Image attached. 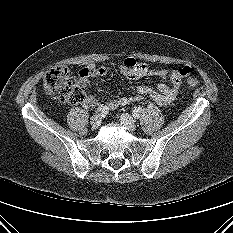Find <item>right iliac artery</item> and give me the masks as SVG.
Listing matches in <instances>:
<instances>
[{
    "instance_id": "right-iliac-artery-1",
    "label": "right iliac artery",
    "mask_w": 233,
    "mask_h": 233,
    "mask_svg": "<svg viewBox=\"0 0 233 233\" xmlns=\"http://www.w3.org/2000/svg\"><path fill=\"white\" fill-rule=\"evenodd\" d=\"M108 111H109V108L106 105H101L95 110L96 113L102 112L104 114L108 113Z\"/></svg>"
}]
</instances>
